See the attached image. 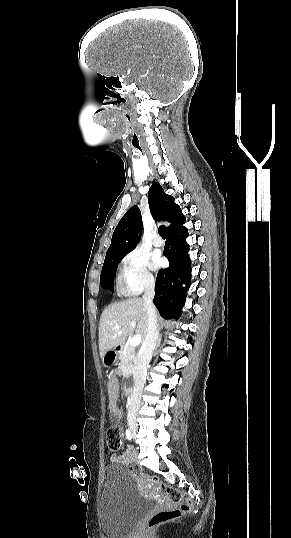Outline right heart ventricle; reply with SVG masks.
I'll return each instance as SVG.
<instances>
[{
    "label": "right heart ventricle",
    "mask_w": 291,
    "mask_h": 538,
    "mask_svg": "<svg viewBox=\"0 0 291 538\" xmlns=\"http://www.w3.org/2000/svg\"><path fill=\"white\" fill-rule=\"evenodd\" d=\"M118 287H119V290L123 292L122 287H121V282L119 279H118Z\"/></svg>",
    "instance_id": "1"
}]
</instances>
